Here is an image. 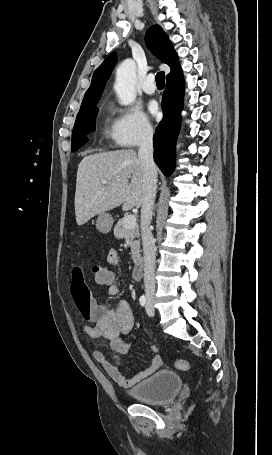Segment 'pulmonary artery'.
<instances>
[{
	"mask_svg": "<svg viewBox=\"0 0 272 455\" xmlns=\"http://www.w3.org/2000/svg\"><path fill=\"white\" fill-rule=\"evenodd\" d=\"M154 76L148 75L142 83V90L147 94H153L156 91Z\"/></svg>",
	"mask_w": 272,
	"mask_h": 455,
	"instance_id": "e3ab8cb5",
	"label": "pulmonary artery"
}]
</instances>
